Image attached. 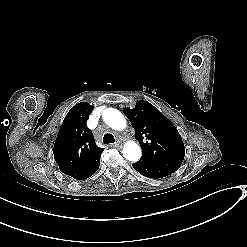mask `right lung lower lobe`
<instances>
[{"instance_id":"1","label":"right lung lower lobe","mask_w":247,"mask_h":247,"mask_svg":"<svg viewBox=\"0 0 247 247\" xmlns=\"http://www.w3.org/2000/svg\"><path fill=\"white\" fill-rule=\"evenodd\" d=\"M100 165V164H99ZM99 165L93 170V172L90 174V175H88L86 178H88V177H90L91 175H93L96 171H97V169L99 168ZM85 178V179H86ZM82 180H84V179H82Z\"/></svg>"}]
</instances>
